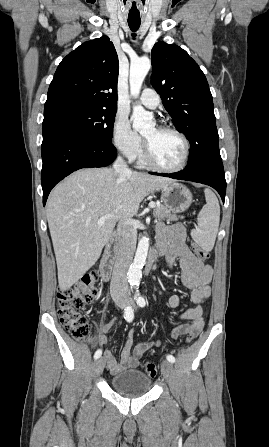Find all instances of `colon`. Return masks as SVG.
Returning <instances> with one entry per match:
<instances>
[{
    "label": "colon",
    "instance_id": "obj_1",
    "mask_svg": "<svg viewBox=\"0 0 269 447\" xmlns=\"http://www.w3.org/2000/svg\"><path fill=\"white\" fill-rule=\"evenodd\" d=\"M191 250L203 262L210 257V253L197 244H192ZM98 292V280L94 275L86 273L73 287L59 289L56 293L58 318L62 326L78 341H86L91 334V326L85 309L97 300ZM194 338L195 335L191 334L186 342L191 343ZM143 371L147 376L153 378L157 375V365L147 363Z\"/></svg>",
    "mask_w": 269,
    "mask_h": 447
}]
</instances>
